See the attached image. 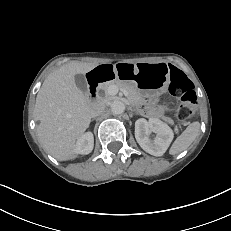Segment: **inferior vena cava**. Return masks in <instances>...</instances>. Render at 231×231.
<instances>
[{"mask_svg":"<svg viewBox=\"0 0 231 231\" xmlns=\"http://www.w3.org/2000/svg\"><path fill=\"white\" fill-rule=\"evenodd\" d=\"M105 103L103 101H96L91 107V117L101 115L105 110Z\"/></svg>","mask_w":231,"mask_h":231,"instance_id":"inferior-vena-cava-1","label":"inferior vena cava"}]
</instances>
